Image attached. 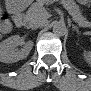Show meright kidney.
<instances>
[{
  "mask_svg": "<svg viewBox=\"0 0 91 91\" xmlns=\"http://www.w3.org/2000/svg\"><path fill=\"white\" fill-rule=\"evenodd\" d=\"M20 45V36L14 35L0 43V61L3 63H13L22 60L30 53L34 42L29 40L21 50L16 49Z\"/></svg>",
  "mask_w": 91,
  "mask_h": 91,
  "instance_id": "obj_1",
  "label": "right kidney"
}]
</instances>
